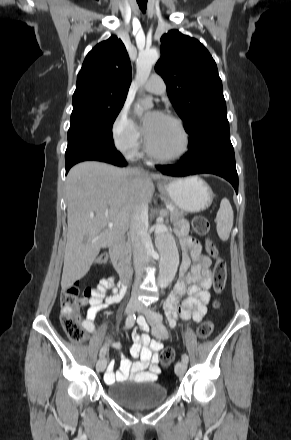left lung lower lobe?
I'll return each mask as SVG.
<instances>
[{
	"label": "left lung lower lobe",
	"mask_w": 291,
	"mask_h": 440,
	"mask_svg": "<svg viewBox=\"0 0 291 440\" xmlns=\"http://www.w3.org/2000/svg\"><path fill=\"white\" fill-rule=\"evenodd\" d=\"M189 148L190 151L181 158V163L158 165L156 168L161 173L174 177L215 174L228 180L238 193V175L229 128L215 130Z\"/></svg>",
	"instance_id": "obj_1"
}]
</instances>
